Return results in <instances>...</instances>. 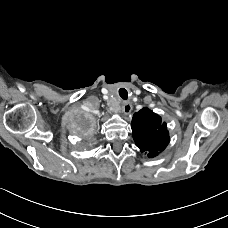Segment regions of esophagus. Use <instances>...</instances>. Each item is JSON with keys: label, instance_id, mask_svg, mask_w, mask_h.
I'll list each match as a JSON object with an SVG mask.
<instances>
[{"label": "esophagus", "instance_id": "34e87169", "mask_svg": "<svg viewBox=\"0 0 228 228\" xmlns=\"http://www.w3.org/2000/svg\"><path fill=\"white\" fill-rule=\"evenodd\" d=\"M132 104L129 101H124L122 104V111L125 115L130 114V112L132 111Z\"/></svg>", "mask_w": 228, "mask_h": 228}]
</instances>
